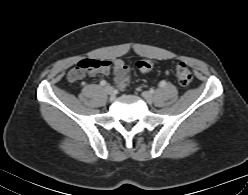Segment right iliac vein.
I'll return each mask as SVG.
<instances>
[{"label":"right iliac vein","instance_id":"obj_1","mask_svg":"<svg viewBox=\"0 0 248 195\" xmlns=\"http://www.w3.org/2000/svg\"><path fill=\"white\" fill-rule=\"evenodd\" d=\"M104 90L111 98L114 97V91L111 86H105Z\"/></svg>","mask_w":248,"mask_h":195}]
</instances>
